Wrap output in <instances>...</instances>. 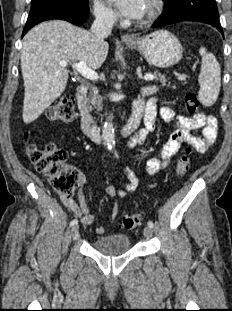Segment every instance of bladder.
<instances>
[{"label":"bladder","instance_id":"obj_1","mask_svg":"<svg viewBox=\"0 0 232 311\" xmlns=\"http://www.w3.org/2000/svg\"><path fill=\"white\" fill-rule=\"evenodd\" d=\"M93 247L102 253H123L130 249V239L124 233H110L97 237L93 242Z\"/></svg>","mask_w":232,"mask_h":311}]
</instances>
